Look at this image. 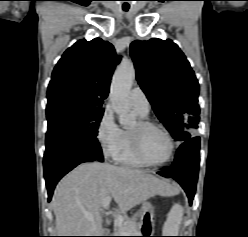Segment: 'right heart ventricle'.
<instances>
[{
	"instance_id": "1",
	"label": "right heart ventricle",
	"mask_w": 248,
	"mask_h": 237,
	"mask_svg": "<svg viewBox=\"0 0 248 237\" xmlns=\"http://www.w3.org/2000/svg\"><path fill=\"white\" fill-rule=\"evenodd\" d=\"M136 110V109H135ZM138 115L141 118H145L147 114H143L136 110ZM114 160L117 163L126 165V166H132V167H143L146 166L143 162H141L135 155L131 146L130 138H129V130L124 129L122 130V139H121V146L114 157Z\"/></svg>"
}]
</instances>
